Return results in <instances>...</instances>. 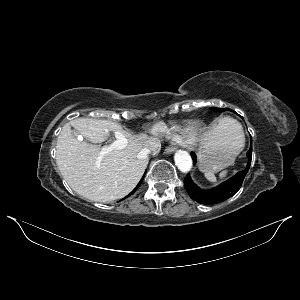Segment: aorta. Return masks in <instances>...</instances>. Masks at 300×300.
I'll return each mask as SVG.
<instances>
[{
  "label": "aorta",
  "mask_w": 300,
  "mask_h": 300,
  "mask_svg": "<svg viewBox=\"0 0 300 300\" xmlns=\"http://www.w3.org/2000/svg\"><path fill=\"white\" fill-rule=\"evenodd\" d=\"M174 161L177 168L186 173L192 168V159L188 152L184 150H178L174 155Z\"/></svg>",
  "instance_id": "1"
}]
</instances>
